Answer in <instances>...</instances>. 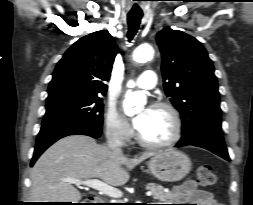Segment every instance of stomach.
I'll return each instance as SVG.
<instances>
[{
  "mask_svg": "<svg viewBox=\"0 0 253 205\" xmlns=\"http://www.w3.org/2000/svg\"><path fill=\"white\" fill-rule=\"evenodd\" d=\"M150 172L162 181H178L191 170L189 157L177 150H166L156 154L148 162Z\"/></svg>",
  "mask_w": 253,
  "mask_h": 205,
  "instance_id": "obj_1",
  "label": "stomach"
}]
</instances>
